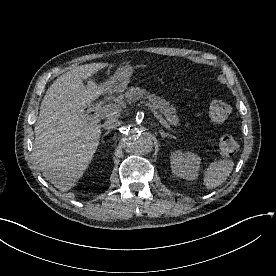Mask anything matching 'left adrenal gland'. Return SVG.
Returning a JSON list of instances; mask_svg holds the SVG:
<instances>
[{"label": "left adrenal gland", "mask_w": 276, "mask_h": 276, "mask_svg": "<svg viewBox=\"0 0 276 276\" xmlns=\"http://www.w3.org/2000/svg\"><path fill=\"white\" fill-rule=\"evenodd\" d=\"M159 133L161 134V136H162L163 138H166V137L173 138V139L176 138L174 135H171V134L168 133V132H164L163 130H159Z\"/></svg>", "instance_id": "obj_1"}]
</instances>
